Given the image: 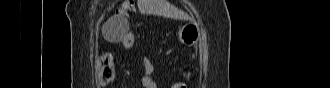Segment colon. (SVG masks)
I'll list each match as a JSON object with an SVG mask.
<instances>
[{
  "label": "colon",
  "mask_w": 330,
  "mask_h": 88,
  "mask_svg": "<svg viewBox=\"0 0 330 88\" xmlns=\"http://www.w3.org/2000/svg\"><path fill=\"white\" fill-rule=\"evenodd\" d=\"M133 9V1H124L119 9L120 13L128 14ZM121 45L130 49L134 44V36L129 33L122 37ZM116 77L115 66L112 57L109 54H103L99 62V80L102 85L109 84L114 81ZM176 87L184 88V84H179Z\"/></svg>",
  "instance_id": "5ec220e1"
}]
</instances>
